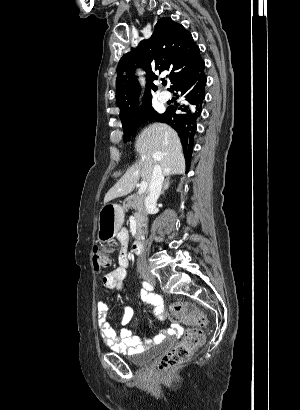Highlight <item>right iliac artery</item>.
<instances>
[{
  "mask_svg": "<svg viewBox=\"0 0 300 410\" xmlns=\"http://www.w3.org/2000/svg\"><path fill=\"white\" fill-rule=\"evenodd\" d=\"M142 284H143V287L148 291H152L154 289L153 286L146 281H144Z\"/></svg>",
  "mask_w": 300,
  "mask_h": 410,
  "instance_id": "right-iliac-artery-1",
  "label": "right iliac artery"
}]
</instances>
